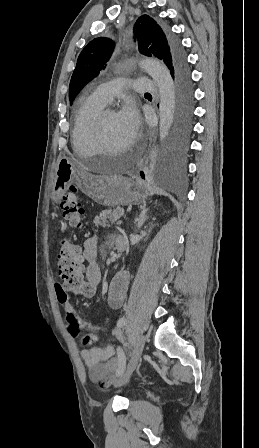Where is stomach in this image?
I'll return each instance as SVG.
<instances>
[{
  "mask_svg": "<svg viewBox=\"0 0 259 448\" xmlns=\"http://www.w3.org/2000/svg\"><path fill=\"white\" fill-rule=\"evenodd\" d=\"M76 176V166L71 158L62 156L59 158L55 170V178L52 186V200L59 202L62 196L66 194L69 184L74 182Z\"/></svg>",
  "mask_w": 259,
  "mask_h": 448,
  "instance_id": "1",
  "label": "stomach"
}]
</instances>
